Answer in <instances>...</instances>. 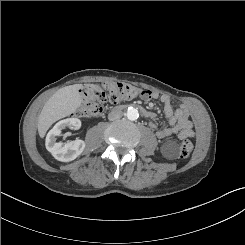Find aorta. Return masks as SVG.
I'll list each match as a JSON object with an SVG mask.
<instances>
[{"instance_id":"762f6f07","label":"aorta","mask_w":245,"mask_h":245,"mask_svg":"<svg viewBox=\"0 0 245 245\" xmlns=\"http://www.w3.org/2000/svg\"><path fill=\"white\" fill-rule=\"evenodd\" d=\"M125 116L129 120H136L139 117V113H138V110L136 108L129 107L125 113Z\"/></svg>"}]
</instances>
